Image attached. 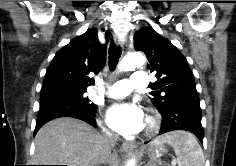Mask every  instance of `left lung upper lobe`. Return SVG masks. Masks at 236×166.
Wrapping results in <instances>:
<instances>
[{"instance_id": "1", "label": "left lung upper lobe", "mask_w": 236, "mask_h": 166, "mask_svg": "<svg viewBox=\"0 0 236 166\" xmlns=\"http://www.w3.org/2000/svg\"><path fill=\"white\" fill-rule=\"evenodd\" d=\"M134 48L146 54L148 69L156 72L158 80L149 86L153 89L149 98L159 112L199 98L186 58L169 40L153 28L144 27L134 35Z\"/></svg>"}]
</instances>
